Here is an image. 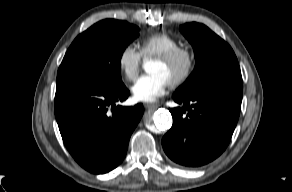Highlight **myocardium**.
Instances as JSON below:
<instances>
[{
  "label": "myocardium",
  "instance_id": "obj_1",
  "mask_svg": "<svg viewBox=\"0 0 292 192\" xmlns=\"http://www.w3.org/2000/svg\"><path fill=\"white\" fill-rule=\"evenodd\" d=\"M155 59L166 64L182 62L181 71L169 81L172 87H178L184 84L192 76L196 67V55L188 47L180 46L164 54L155 56Z\"/></svg>",
  "mask_w": 292,
  "mask_h": 192
}]
</instances>
